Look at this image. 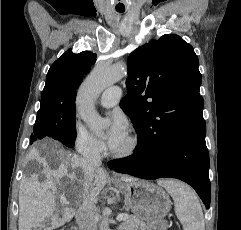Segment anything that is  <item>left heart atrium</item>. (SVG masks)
<instances>
[{
    "label": "left heart atrium",
    "mask_w": 241,
    "mask_h": 230,
    "mask_svg": "<svg viewBox=\"0 0 241 230\" xmlns=\"http://www.w3.org/2000/svg\"><path fill=\"white\" fill-rule=\"evenodd\" d=\"M110 119L105 139L108 147L115 150L127 137V120L119 112L113 113Z\"/></svg>",
    "instance_id": "39dd6f15"
}]
</instances>
